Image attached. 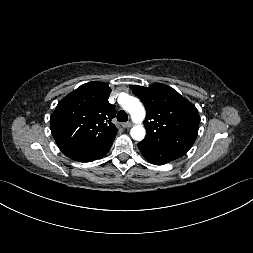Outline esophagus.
<instances>
[{"label": "esophagus", "mask_w": 253, "mask_h": 253, "mask_svg": "<svg viewBox=\"0 0 253 253\" xmlns=\"http://www.w3.org/2000/svg\"><path fill=\"white\" fill-rule=\"evenodd\" d=\"M131 122H125V123H122V126L124 127V128H129V127H131Z\"/></svg>", "instance_id": "obj_1"}]
</instances>
